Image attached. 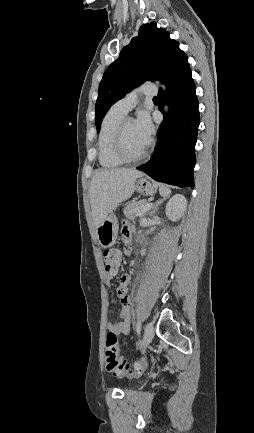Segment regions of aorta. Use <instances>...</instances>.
Listing matches in <instances>:
<instances>
[{
  "mask_svg": "<svg viewBox=\"0 0 254 433\" xmlns=\"http://www.w3.org/2000/svg\"><path fill=\"white\" fill-rule=\"evenodd\" d=\"M157 84L160 85L163 89H165L164 85H162L159 81H157ZM164 110L167 112L168 111V106L165 105Z\"/></svg>",
  "mask_w": 254,
  "mask_h": 433,
  "instance_id": "1",
  "label": "aorta"
}]
</instances>
